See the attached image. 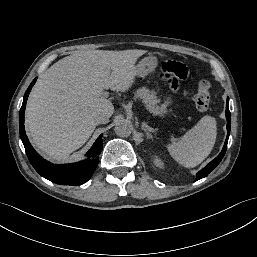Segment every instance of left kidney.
<instances>
[{
	"mask_svg": "<svg viewBox=\"0 0 257 257\" xmlns=\"http://www.w3.org/2000/svg\"><path fill=\"white\" fill-rule=\"evenodd\" d=\"M154 164H155L157 167H160V168H162L163 165H164L163 161H162L160 158H158V157H155V158H154Z\"/></svg>",
	"mask_w": 257,
	"mask_h": 257,
	"instance_id": "5707ae66",
	"label": "left kidney"
}]
</instances>
